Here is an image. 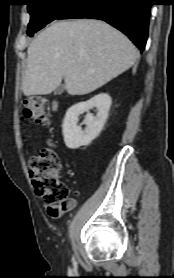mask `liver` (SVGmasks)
Returning <instances> with one entry per match:
<instances>
[{
	"label": "liver",
	"instance_id": "1",
	"mask_svg": "<svg viewBox=\"0 0 174 278\" xmlns=\"http://www.w3.org/2000/svg\"><path fill=\"white\" fill-rule=\"evenodd\" d=\"M24 95H47L64 78L70 95H85L133 66L138 52L119 30L95 19L58 21L27 49Z\"/></svg>",
	"mask_w": 174,
	"mask_h": 278
}]
</instances>
